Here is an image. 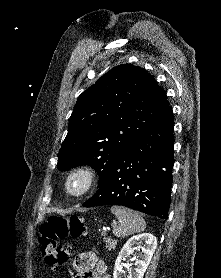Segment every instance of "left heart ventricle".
<instances>
[{
  "label": "left heart ventricle",
  "instance_id": "obj_1",
  "mask_svg": "<svg viewBox=\"0 0 221 278\" xmlns=\"http://www.w3.org/2000/svg\"><path fill=\"white\" fill-rule=\"evenodd\" d=\"M77 187V183L75 182L74 184H73V188H76Z\"/></svg>",
  "mask_w": 221,
  "mask_h": 278
}]
</instances>
